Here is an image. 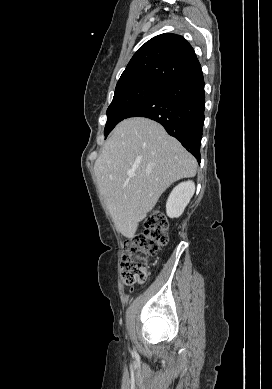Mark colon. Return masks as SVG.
<instances>
[{
  "label": "colon",
  "instance_id": "5ec220e1",
  "mask_svg": "<svg viewBox=\"0 0 272 389\" xmlns=\"http://www.w3.org/2000/svg\"><path fill=\"white\" fill-rule=\"evenodd\" d=\"M168 222L164 215L154 211L144 221V230L125 243L121 279L125 285L143 284L148 278L149 256L156 255L168 241Z\"/></svg>",
  "mask_w": 272,
  "mask_h": 389
}]
</instances>
